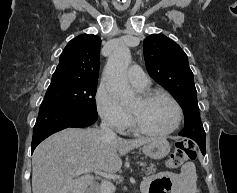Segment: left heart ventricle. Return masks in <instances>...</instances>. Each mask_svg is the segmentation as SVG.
I'll use <instances>...</instances> for the list:
<instances>
[{
	"label": "left heart ventricle",
	"instance_id": "obj_1",
	"mask_svg": "<svg viewBox=\"0 0 237 193\" xmlns=\"http://www.w3.org/2000/svg\"><path fill=\"white\" fill-rule=\"evenodd\" d=\"M128 110L140 126L153 131L171 128L177 118L174 105L164 97H157L148 103L138 98Z\"/></svg>",
	"mask_w": 237,
	"mask_h": 193
}]
</instances>
